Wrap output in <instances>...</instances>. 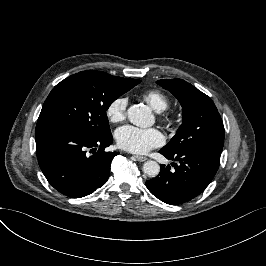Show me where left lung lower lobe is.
<instances>
[{
	"label": "left lung lower lobe",
	"instance_id": "1",
	"mask_svg": "<svg viewBox=\"0 0 266 266\" xmlns=\"http://www.w3.org/2000/svg\"><path fill=\"white\" fill-rule=\"evenodd\" d=\"M167 159L176 160L175 170L161 165L159 175L146 181L148 190L161 201L177 205L201 194L216 174L220 150L196 146L172 152L162 148L159 151ZM173 166V165H172Z\"/></svg>",
	"mask_w": 266,
	"mask_h": 266
}]
</instances>
